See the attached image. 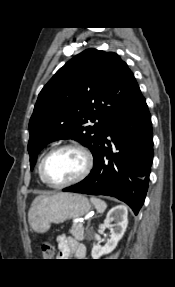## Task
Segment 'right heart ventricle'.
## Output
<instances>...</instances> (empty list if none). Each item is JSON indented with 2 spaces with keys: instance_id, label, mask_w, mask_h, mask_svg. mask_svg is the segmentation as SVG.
<instances>
[{
  "instance_id": "right-heart-ventricle-1",
  "label": "right heart ventricle",
  "mask_w": 175,
  "mask_h": 287,
  "mask_svg": "<svg viewBox=\"0 0 175 287\" xmlns=\"http://www.w3.org/2000/svg\"><path fill=\"white\" fill-rule=\"evenodd\" d=\"M42 159H43V157L41 158V160H40V162H39V164H38V175H39L41 181L43 182V180H42V178H41V176H40V166H41Z\"/></svg>"
}]
</instances>
